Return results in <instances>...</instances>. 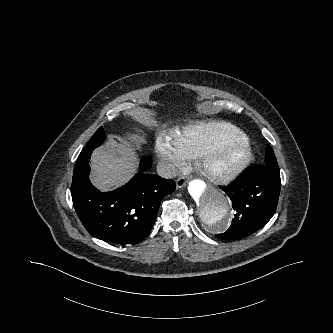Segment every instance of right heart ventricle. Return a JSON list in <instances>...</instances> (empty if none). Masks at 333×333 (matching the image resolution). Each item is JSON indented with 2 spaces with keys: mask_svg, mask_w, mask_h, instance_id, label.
<instances>
[{
  "mask_svg": "<svg viewBox=\"0 0 333 333\" xmlns=\"http://www.w3.org/2000/svg\"><path fill=\"white\" fill-rule=\"evenodd\" d=\"M247 138L236 126L225 122H201L173 134V141L186 159H196L212 142L220 138Z\"/></svg>",
  "mask_w": 333,
  "mask_h": 333,
  "instance_id": "1",
  "label": "right heart ventricle"
}]
</instances>
